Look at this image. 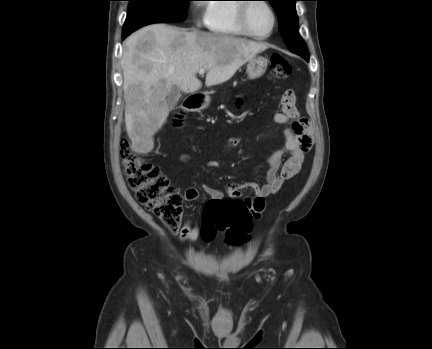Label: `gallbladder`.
Listing matches in <instances>:
<instances>
[{
  "label": "gallbladder",
  "mask_w": 432,
  "mask_h": 349,
  "mask_svg": "<svg viewBox=\"0 0 432 349\" xmlns=\"http://www.w3.org/2000/svg\"><path fill=\"white\" fill-rule=\"evenodd\" d=\"M180 91L176 86H173L170 94L167 97V103L170 109H174L179 101Z\"/></svg>",
  "instance_id": "gallbladder-1"
}]
</instances>
